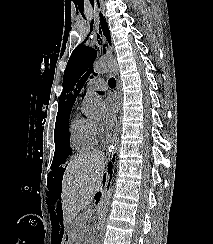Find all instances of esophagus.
Returning <instances> with one entry per match:
<instances>
[{
  "label": "esophagus",
  "mask_w": 213,
  "mask_h": 244,
  "mask_svg": "<svg viewBox=\"0 0 213 244\" xmlns=\"http://www.w3.org/2000/svg\"><path fill=\"white\" fill-rule=\"evenodd\" d=\"M115 96H116V100H117V116H116V124H115V130H114V134L113 137L111 138L109 145H108V151L109 152H113L117 143V138H118V129H119V122L121 119V108H120V98L118 95V91H115Z\"/></svg>",
  "instance_id": "34e87169"
}]
</instances>
